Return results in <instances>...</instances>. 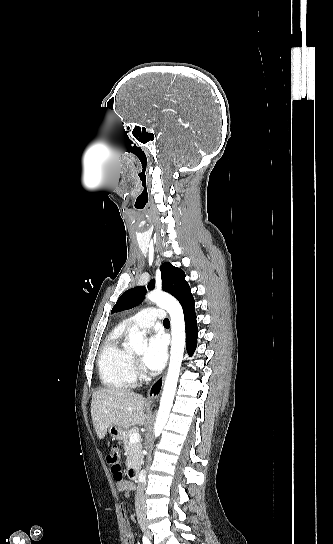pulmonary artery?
<instances>
[{
	"label": "pulmonary artery",
	"instance_id": "pulmonary-artery-1",
	"mask_svg": "<svg viewBox=\"0 0 333 544\" xmlns=\"http://www.w3.org/2000/svg\"><path fill=\"white\" fill-rule=\"evenodd\" d=\"M165 316L166 313L163 309L150 307L126 319L124 325L127 327L148 329L153 327L157 320H164Z\"/></svg>",
	"mask_w": 333,
	"mask_h": 544
}]
</instances>
